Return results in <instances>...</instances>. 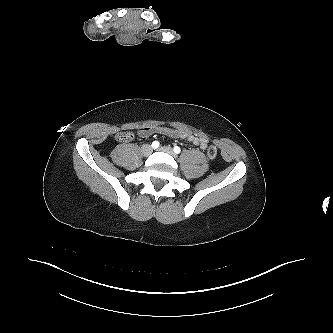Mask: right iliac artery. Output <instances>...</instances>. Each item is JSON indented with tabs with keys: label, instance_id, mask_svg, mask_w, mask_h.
I'll return each instance as SVG.
<instances>
[{
	"label": "right iliac artery",
	"instance_id": "82829eb1",
	"mask_svg": "<svg viewBox=\"0 0 333 333\" xmlns=\"http://www.w3.org/2000/svg\"><path fill=\"white\" fill-rule=\"evenodd\" d=\"M151 146H152V148L156 149V148L159 147V142L158 141H154V142H152Z\"/></svg>",
	"mask_w": 333,
	"mask_h": 333
}]
</instances>
